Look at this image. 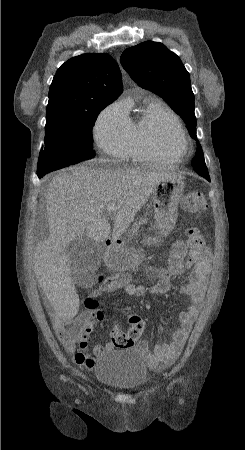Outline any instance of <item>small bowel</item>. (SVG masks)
I'll list each match as a JSON object with an SVG mask.
<instances>
[{
    "mask_svg": "<svg viewBox=\"0 0 245 450\" xmlns=\"http://www.w3.org/2000/svg\"><path fill=\"white\" fill-rule=\"evenodd\" d=\"M160 242L161 240L155 236H150L147 238L148 244H159ZM211 260L212 257L208 261L201 260L195 252L186 248L183 240H177L172 245L169 265L166 268H150L147 270V273L156 281V285L154 287L126 283L121 286H115L111 289V291L124 289L128 297L152 298L159 294L170 292L173 289L172 279L179 276L185 267L193 268L189 274L187 284L179 290L181 293L188 296L190 304L185 311L178 314L180 327L172 333L170 341L156 344L153 349L149 347V344L145 339H141L134 344L135 350L150 369L159 371L173 364L179 357L182 347L191 331L193 322L197 317L203 303L208 277L212 271ZM61 285L65 288L69 287L67 282H61ZM88 308H90L88 313L90 315H95L96 311L91 304H89ZM102 312L105 318L107 312L103 310ZM51 317L57 337L64 344L67 352L72 356L73 360L79 365L87 368L92 367L94 363V356L103 355L115 347H119L113 341L111 336V339L108 342L96 344L93 347L92 352H90L88 338L91 330H89L84 337V344H80L65 339V337L56 328V326L61 322L80 318H76L75 315L62 317L61 315L55 313H53ZM114 329H120V327L115 325L113 327V330ZM79 356H86L88 357V360L80 361Z\"/></svg>",
    "mask_w": 245,
    "mask_h": 450,
    "instance_id": "small-bowel-1",
    "label": "small bowel"
}]
</instances>
